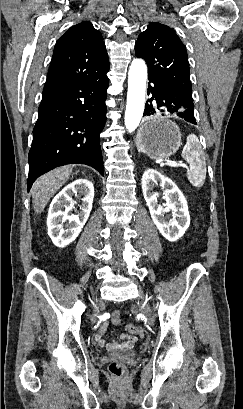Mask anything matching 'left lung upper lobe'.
<instances>
[{
  "label": "left lung upper lobe",
  "instance_id": "1",
  "mask_svg": "<svg viewBox=\"0 0 243 409\" xmlns=\"http://www.w3.org/2000/svg\"><path fill=\"white\" fill-rule=\"evenodd\" d=\"M135 54L146 61L149 77L192 94L187 51L170 27L150 23L136 41Z\"/></svg>",
  "mask_w": 243,
  "mask_h": 409
}]
</instances>
